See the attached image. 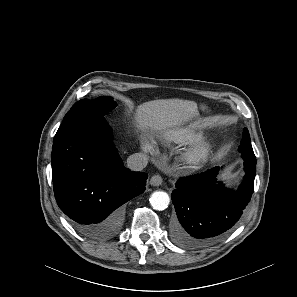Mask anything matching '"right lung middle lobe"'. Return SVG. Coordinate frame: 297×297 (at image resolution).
Segmentation results:
<instances>
[{"mask_svg":"<svg viewBox=\"0 0 297 297\" xmlns=\"http://www.w3.org/2000/svg\"><path fill=\"white\" fill-rule=\"evenodd\" d=\"M116 102L112 97H99L94 100L83 99L75 103L65 115L56 134L71 128L81 127L91 122H106L104 115L114 109Z\"/></svg>","mask_w":297,"mask_h":297,"instance_id":"right-lung-middle-lobe-1","label":"right lung middle lobe"}]
</instances>
